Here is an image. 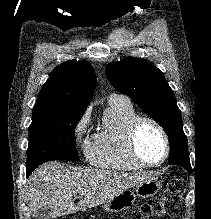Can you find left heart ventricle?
<instances>
[{"mask_svg":"<svg viewBox=\"0 0 211 219\" xmlns=\"http://www.w3.org/2000/svg\"><path fill=\"white\" fill-rule=\"evenodd\" d=\"M140 157L147 163L159 162L164 154V141L160 132L150 123L141 124L137 133Z\"/></svg>","mask_w":211,"mask_h":219,"instance_id":"b2bd125f","label":"left heart ventricle"}]
</instances>
